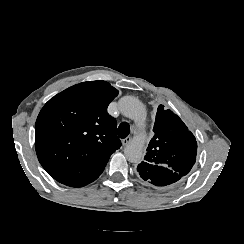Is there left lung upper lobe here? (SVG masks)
Instances as JSON below:
<instances>
[{
  "label": "left lung upper lobe",
  "instance_id": "obj_1",
  "mask_svg": "<svg viewBox=\"0 0 244 244\" xmlns=\"http://www.w3.org/2000/svg\"><path fill=\"white\" fill-rule=\"evenodd\" d=\"M154 137L138 169L154 177L170 180L184 177L196 161L197 142L183 121L171 110L159 105Z\"/></svg>",
  "mask_w": 244,
  "mask_h": 244
}]
</instances>
